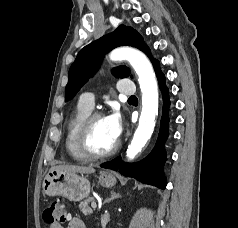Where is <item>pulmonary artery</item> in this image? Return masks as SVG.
Wrapping results in <instances>:
<instances>
[{
    "instance_id": "pulmonary-artery-1",
    "label": "pulmonary artery",
    "mask_w": 238,
    "mask_h": 228,
    "mask_svg": "<svg viewBox=\"0 0 238 228\" xmlns=\"http://www.w3.org/2000/svg\"><path fill=\"white\" fill-rule=\"evenodd\" d=\"M118 90L122 95L132 96L135 93V85L130 79H120L117 84ZM80 101L87 107L93 109L95 97L93 93H85Z\"/></svg>"
}]
</instances>
